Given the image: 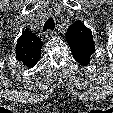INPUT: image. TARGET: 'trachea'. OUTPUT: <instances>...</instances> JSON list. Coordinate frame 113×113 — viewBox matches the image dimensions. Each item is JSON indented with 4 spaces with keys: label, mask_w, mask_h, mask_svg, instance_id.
Here are the masks:
<instances>
[{
    "label": "trachea",
    "mask_w": 113,
    "mask_h": 113,
    "mask_svg": "<svg viewBox=\"0 0 113 113\" xmlns=\"http://www.w3.org/2000/svg\"><path fill=\"white\" fill-rule=\"evenodd\" d=\"M54 27H55V24H54L53 18H49V19L45 22L42 31L45 32V31H47V30H53Z\"/></svg>",
    "instance_id": "trachea-1"
}]
</instances>
